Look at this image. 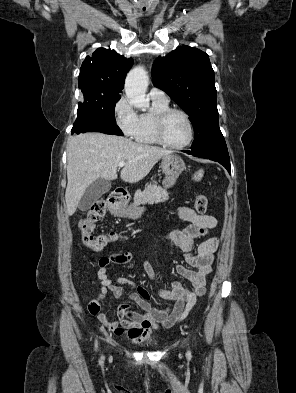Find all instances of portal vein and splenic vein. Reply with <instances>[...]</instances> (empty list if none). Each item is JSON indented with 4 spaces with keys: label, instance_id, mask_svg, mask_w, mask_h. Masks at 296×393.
Returning a JSON list of instances; mask_svg holds the SVG:
<instances>
[{
    "label": "portal vein and splenic vein",
    "instance_id": "obj_1",
    "mask_svg": "<svg viewBox=\"0 0 296 393\" xmlns=\"http://www.w3.org/2000/svg\"><path fill=\"white\" fill-rule=\"evenodd\" d=\"M125 164H126V162H124V161H121V162H119V163H118V166H119V167H124V166H125Z\"/></svg>",
    "mask_w": 296,
    "mask_h": 393
}]
</instances>
